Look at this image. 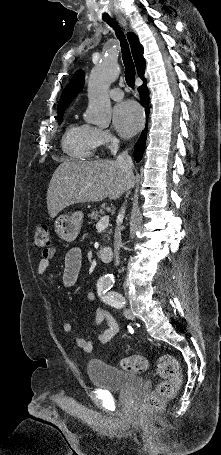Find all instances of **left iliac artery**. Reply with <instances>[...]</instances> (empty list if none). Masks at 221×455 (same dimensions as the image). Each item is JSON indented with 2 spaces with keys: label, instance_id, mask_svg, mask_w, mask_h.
I'll return each instance as SVG.
<instances>
[{
  "label": "left iliac artery",
  "instance_id": "left-iliac-artery-1",
  "mask_svg": "<svg viewBox=\"0 0 221 455\" xmlns=\"http://www.w3.org/2000/svg\"><path fill=\"white\" fill-rule=\"evenodd\" d=\"M111 287L112 286H99L98 295L103 302L108 303L115 308H122L125 304L124 297L118 292L111 291Z\"/></svg>",
  "mask_w": 221,
  "mask_h": 455
}]
</instances>
